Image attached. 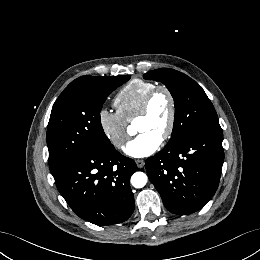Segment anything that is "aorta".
<instances>
[{
	"label": "aorta",
	"instance_id": "1",
	"mask_svg": "<svg viewBox=\"0 0 260 260\" xmlns=\"http://www.w3.org/2000/svg\"><path fill=\"white\" fill-rule=\"evenodd\" d=\"M148 177L143 172H135L131 177V184L135 188H142L146 185Z\"/></svg>",
	"mask_w": 260,
	"mask_h": 260
}]
</instances>
